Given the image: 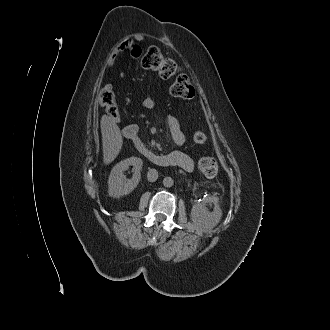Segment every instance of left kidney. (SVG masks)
I'll list each match as a JSON object with an SVG mask.
<instances>
[{
	"mask_svg": "<svg viewBox=\"0 0 330 330\" xmlns=\"http://www.w3.org/2000/svg\"><path fill=\"white\" fill-rule=\"evenodd\" d=\"M207 202L214 204L212 212L206 208L205 203H196L191 210L192 222L202 232H208L213 229L222 217V210L218 200L215 197H207Z\"/></svg>",
	"mask_w": 330,
	"mask_h": 330,
	"instance_id": "left-kidney-1",
	"label": "left kidney"
}]
</instances>
